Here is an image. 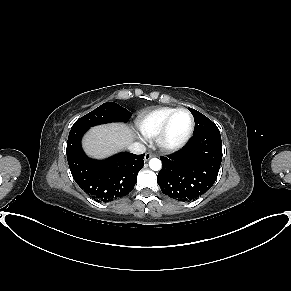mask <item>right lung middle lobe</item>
<instances>
[{"label": "right lung middle lobe", "mask_w": 291, "mask_h": 291, "mask_svg": "<svg viewBox=\"0 0 291 291\" xmlns=\"http://www.w3.org/2000/svg\"><path fill=\"white\" fill-rule=\"evenodd\" d=\"M131 113L114 102H107L78 119L71 127V131L79 129H89L92 126L111 123L127 122Z\"/></svg>", "instance_id": "1"}]
</instances>
